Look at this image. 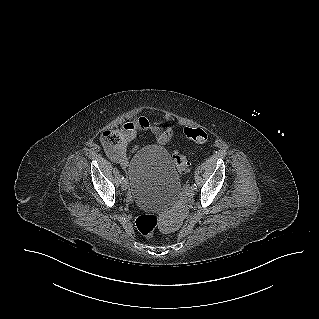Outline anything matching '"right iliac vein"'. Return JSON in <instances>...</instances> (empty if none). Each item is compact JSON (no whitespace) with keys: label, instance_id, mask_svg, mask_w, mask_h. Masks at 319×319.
I'll return each instance as SVG.
<instances>
[{"label":"right iliac vein","instance_id":"obj_1","mask_svg":"<svg viewBox=\"0 0 319 319\" xmlns=\"http://www.w3.org/2000/svg\"><path fill=\"white\" fill-rule=\"evenodd\" d=\"M128 187H129L128 182H127V180L124 179L122 181L121 188H122V190L126 191L128 189Z\"/></svg>","mask_w":319,"mask_h":319}]
</instances>
